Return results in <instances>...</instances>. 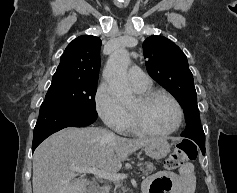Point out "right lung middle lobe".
Instances as JSON below:
<instances>
[{
    "mask_svg": "<svg viewBox=\"0 0 237 193\" xmlns=\"http://www.w3.org/2000/svg\"><path fill=\"white\" fill-rule=\"evenodd\" d=\"M97 81L53 77L41 107L55 108L81 116L97 117Z\"/></svg>",
    "mask_w": 237,
    "mask_h": 193,
    "instance_id": "right-lung-middle-lobe-1",
    "label": "right lung middle lobe"
}]
</instances>
